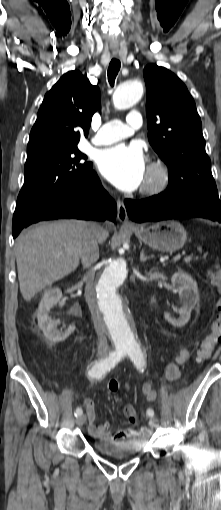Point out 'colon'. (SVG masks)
<instances>
[{
	"mask_svg": "<svg viewBox=\"0 0 221 510\" xmlns=\"http://www.w3.org/2000/svg\"><path fill=\"white\" fill-rule=\"evenodd\" d=\"M210 279L211 282L221 290V272L211 275ZM219 342H221V316L214 323L212 331L200 341L196 355L197 362L203 363L206 361ZM108 390L111 393H117L119 390V382L111 380L108 383ZM115 401L118 402L119 398H116ZM124 413L129 414L130 410L126 409Z\"/></svg>",
	"mask_w": 221,
	"mask_h": 510,
	"instance_id": "1",
	"label": "colon"
}]
</instances>
